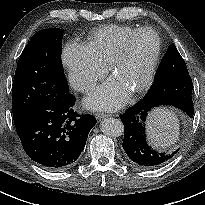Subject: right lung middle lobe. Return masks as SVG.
<instances>
[{"label":"right lung middle lobe","mask_w":205,"mask_h":205,"mask_svg":"<svg viewBox=\"0 0 205 205\" xmlns=\"http://www.w3.org/2000/svg\"><path fill=\"white\" fill-rule=\"evenodd\" d=\"M63 31L40 30L24 48L12 87L14 124L46 100L69 92L61 65Z\"/></svg>","instance_id":"right-lung-middle-lobe-1"}]
</instances>
